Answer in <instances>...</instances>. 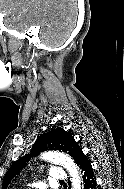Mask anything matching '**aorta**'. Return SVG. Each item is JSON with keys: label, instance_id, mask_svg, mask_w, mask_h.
Listing matches in <instances>:
<instances>
[{"label": "aorta", "instance_id": "aorta-1", "mask_svg": "<svg viewBox=\"0 0 124 189\" xmlns=\"http://www.w3.org/2000/svg\"><path fill=\"white\" fill-rule=\"evenodd\" d=\"M41 158L45 161L62 165L68 171L71 177L72 189H81V178L79 175L78 167L71 159V157L60 152L48 151L44 152L41 155Z\"/></svg>", "mask_w": 124, "mask_h": 189}]
</instances>
